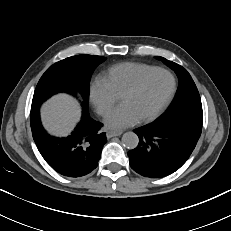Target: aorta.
Returning a JSON list of instances; mask_svg holds the SVG:
<instances>
[{
	"label": "aorta",
	"instance_id": "obj_1",
	"mask_svg": "<svg viewBox=\"0 0 231 231\" xmlns=\"http://www.w3.org/2000/svg\"><path fill=\"white\" fill-rule=\"evenodd\" d=\"M139 143V138L134 132H126L122 136V144L128 149H134Z\"/></svg>",
	"mask_w": 231,
	"mask_h": 231
}]
</instances>
